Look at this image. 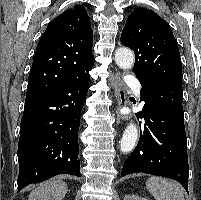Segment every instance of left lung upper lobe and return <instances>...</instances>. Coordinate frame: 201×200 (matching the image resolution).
Returning a JSON list of instances; mask_svg holds the SVG:
<instances>
[{"mask_svg":"<svg viewBox=\"0 0 201 200\" xmlns=\"http://www.w3.org/2000/svg\"><path fill=\"white\" fill-rule=\"evenodd\" d=\"M121 43L135 53L133 72L141 85L182 83L179 48L169 25L155 12L137 7L128 17Z\"/></svg>","mask_w":201,"mask_h":200,"instance_id":"5c2ea615","label":"left lung upper lobe"}]
</instances>
